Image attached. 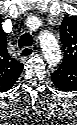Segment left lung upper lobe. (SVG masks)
<instances>
[{"label":"left lung upper lobe","mask_w":77,"mask_h":125,"mask_svg":"<svg viewBox=\"0 0 77 125\" xmlns=\"http://www.w3.org/2000/svg\"><path fill=\"white\" fill-rule=\"evenodd\" d=\"M60 37L64 47L63 71L52 74L53 83L62 90L69 89L71 67L77 65V17H65L60 26Z\"/></svg>","instance_id":"left-lung-upper-lobe-1"}]
</instances>
